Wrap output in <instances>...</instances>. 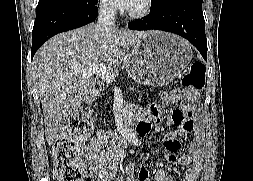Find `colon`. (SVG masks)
<instances>
[{
    "mask_svg": "<svg viewBox=\"0 0 253 181\" xmlns=\"http://www.w3.org/2000/svg\"><path fill=\"white\" fill-rule=\"evenodd\" d=\"M205 66L195 61L182 80L183 88L197 93L204 87ZM193 111L188 110L191 116ZM91 132V126L85 116L78 114L70 118L64 125L54 146L55 170L57 181H93L84 168L79 155L78 145Z\"/></svg>",
    "mask_w": 253,
    "mask_h": 181,
    "instance_id": "obj_1",
    "label": "colon"
}]
</instances>
